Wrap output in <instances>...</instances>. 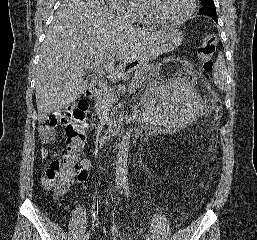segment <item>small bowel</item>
Instances as JSON below:
<instances>
[{
	"instance_id": "small-bowel-1",
	"label": "small bowel",
	"mask_w": 257,
	"mask_h": 240,
	"mask_svg": "<svg viewBox=\"0 0 257 240\" xmlns=\"http://www.w3.org/2000/svg\"><path fill=\"white\" fill-rule=\"evenodd\" d=\"M171 60L178 61L179 58H172ZM52 140H53L52 133H49L45 129H43L41 131V141H42V143L43 144H49V143H51ZM48 154H49V150L46 147L42 148L41 156L43 158H46L48 156ZM80 166L83 169V172L78 176L77 183H83L86 180V178L88 176V173H89V170H90V167H91V163L88 159H84L80 162Z\"/></svg>"
}]
</instances>
